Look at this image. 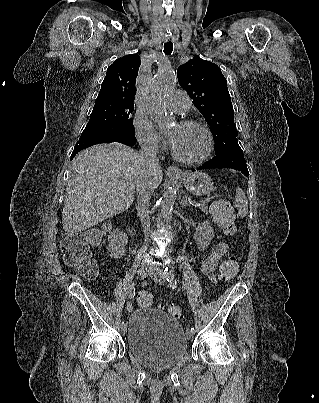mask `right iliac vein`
<instances>
[{
  "instance_id": "1",
  "label": "right iliac vein",
  "mask_w": 319,
  "mask_h": 403,
  "mask_svg": "<svg viewBox=\"0 0 319 403\" xmlns=\"http://www.w3.org/2000/svg\"><path fill=\"white\" fill-rule=\"evenodd\" d=\"M150 272H151V267L149 265L143 264L140 267L139 272H138L139 278L141 280L145 279L150 274ZM126 331H127V326H126V324H124L121 327V332H122V334H126Z\"/></svg>"
}]
</instances>
